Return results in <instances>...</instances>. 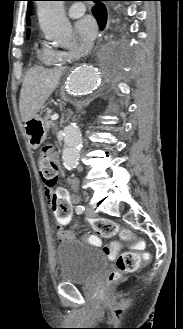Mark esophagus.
<instances>
[{
    "mask_svg": "<svg viewBox=\"0 0 183 329\" xmlns=\"http://www.w3.org/2000/svg\"><path fill=\"white\" fill-rule=\"evenodd\" d=\"M102 36H103V32H101V33L99 34L96 48L98 47L99 43L101 42V40H102Z\"/></svg>",
    "mask_w": 183,
    "mask_h": 329,
    "instance_id": "34e87169",
    "label": "esophagus"
}]
</instances>
